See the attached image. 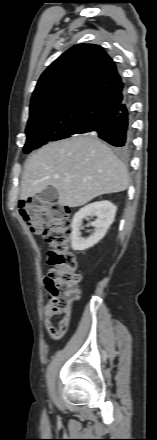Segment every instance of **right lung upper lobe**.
Here are the masks:
<instances>
[{"mask_svg":"<svg viewBox=\"0 0 157 440\" xmlns=\"http://www.w3.org/2000/svg\"><path fill=\"white\" fill-rule=\"evenodd\" d=\"M124 83L113 60L94 44H78L41 75L30 104V118L86 124L119 106Z\"/></svg>","mask_w":157,"mask_h":440,"instance_id":"cb5924a9","label":"right lung upper lobe"}]
</instances>
